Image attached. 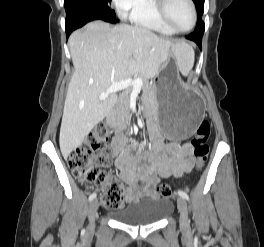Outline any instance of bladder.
<instances>
[{"label":"bladder","instance_id":"1","mask_svg":"<svg viewBox=\"0 0 264 247\" xmlns=\"http://www.w3.org/2000/svg\"><path fill=\"white\" fill-rule=\"evenodd\" d=\"M172 210V203L166 198H146L118 210L113 217L117 222L130 225H149L162 221Z\"/></svg>","mask_w":264,"mask_h":247}]
</instances>
